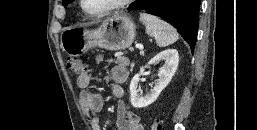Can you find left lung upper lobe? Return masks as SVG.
Listing matches in <instances>:
<instances>
[{"mask_svg":"<svg viewBox=\"0 0 257 130\" xmlns=\"http://www.w3.org/2000/svg\"><path fill=\"white\" fill-rule=\"evenodd\" d=\"M141 0H137L135 1L132 5L137 4L138 2H140ZM71 2V0H63V5L66 7L69 3Z\"/></svg>","mask_w":257,"mask_h":130,"instance_id":"5c2ea615","label":"left lung upper lobe"}]
</instances>
